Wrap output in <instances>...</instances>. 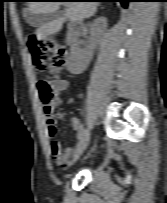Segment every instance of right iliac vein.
<instances>
[{
	"label": "right iliac vein",
	"mask_w": 167,
	"mask_h": 203,
	"mask_svg": "<svg viewBox=\"0 0 167 203\" xmlns=\"http://www.w3.org/2000/svg\"><path fill=\"white\" fill-rule=\"evenodd\" d=\"M89 140H90V131L87 130L84 132L82 138L80 139V141L75 149L73 161H76L82 155V153L87 148Z\"/></svg>",
	"instance_id": "1"
}]
</instances>
